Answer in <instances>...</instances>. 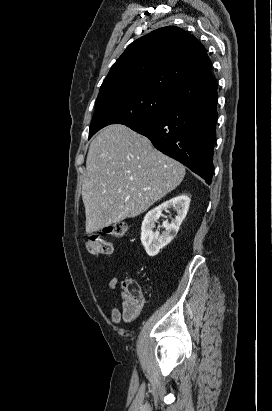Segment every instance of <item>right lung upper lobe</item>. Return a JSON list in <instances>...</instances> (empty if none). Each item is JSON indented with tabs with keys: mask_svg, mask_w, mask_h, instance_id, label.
Masks as SVG:
<instances>
[{
	"mask_svg": "<svg viewBox=\"0 0 272 411\" xmlns=\"http://www.w3.org/2000/svg\"><path fill=\"white\" fill-rule=\"evenodd\" d=\"M133 88L163 92L181 103L213 92L217 82L198 39L167 26L131 43L111 67L99 94Z\"/></svg>",
	"mask_w": 272,
	"mask_h": 411,
	"instance_id": "1",
	"label": "right lung upper lobe"
}]
</instances>
